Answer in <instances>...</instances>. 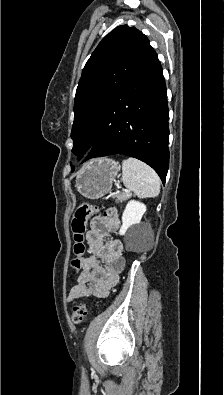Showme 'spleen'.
I'll return each mask as SVG.
<instances>
[{
    "instance_id": "3e777b00",
    "label": "spleen",
    "mask_w": 224,
    "mask_h": 395,
    "mask_svg": "<svg viewBox=\"0 0 224 395\" xmlns=\"http://www.w3.org/2000/svg\"><path fill=\"white\" fill-rule=\"evenodd\" d=\"M122 179L125 187L139 198H154L160 192V178L147 164L135 158L122 161Z\"/></svg>"
}]
</instances>
